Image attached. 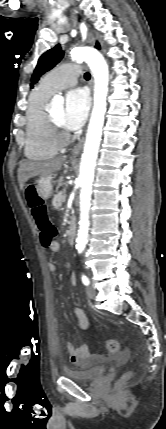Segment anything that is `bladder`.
Here are the masks:
<instances>
[{"instance_id":"bladder-1","label":"bladder","mask_w":166,"mask_h":429,"mask_svg":"<svg viewBox=\"0 0 166 429\" xmlns=\"http://www.w3.org/2000/svg\"><path fill=\"white\" fill-rule=\"evenodd\" d=\"M107 371V366H96L84 370L64 368L63 374L74 381L88 383L101 378Z\"/></svg>"}]
</instances>
